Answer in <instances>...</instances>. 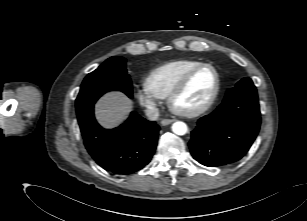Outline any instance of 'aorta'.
<instances>
[{
	"instance_id": "aorta-1",
	"label": "aorta",
	"mask_w": 307,
	"mask_h": 221,
	"mask_svg": "<svg viewBox=\"0 0 307 221\" xmlns=\"http://www.w3.org/2000/svg\"><path fill=\"white\" fill-rule=\"evenodd\" d=\"M172 131L177 135H184L188 131V127L184 122L177 121L172 125Z\"/></svg>"
}]
</instances>
